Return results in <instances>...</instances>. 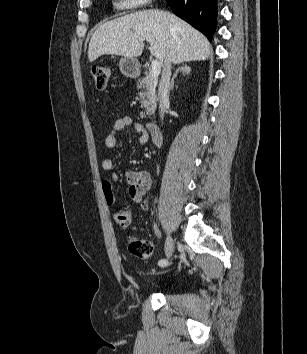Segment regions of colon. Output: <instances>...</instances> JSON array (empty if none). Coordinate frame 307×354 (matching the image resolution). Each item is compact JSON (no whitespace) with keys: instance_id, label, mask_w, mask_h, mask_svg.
<instances>
[{"instance_id":"colon-1","label":"colon","mask_w":307,"mask_h":354,"mask_svg":"<svg viewBox=\"0 0 307 354\" xmlns=\"http://www.w3.org/2000/svg\"><path fill=\"white\" fill-rule=\"evenodd\" d=\"M92 76L99 90L105 89L110 77L108 65L99 64L92 67ZM114 221L118 228L125 229L130 225L131 212L128 208H117L114 212ZM128 250L134 256L142 259L150 258L154 252L153 244L140 237H131L128 241Z\"/></svg>"}]
</instances>
